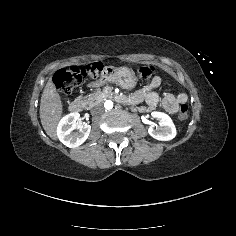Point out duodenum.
Listing matches in <instances>:
<instances>
[{"label": "duodenum", "mask_w": 236, "mask_h": 236, "mask_svg": "<svg viewBox=\"0 0 236 236\" xmlns=\"http://www.w3.org/2000/svg\"><path fill=\"white\" fill-rule=\"evenodd\" d=\"M119 99L122 101H126L128 103H131V104H136V101L132 97H129V98L119 97ZM83 109H84V102L81 99H75L69 105V110L74 114L81 113Z\"/></svg>", "instance_id": "410a0bca"}]
</instances>
